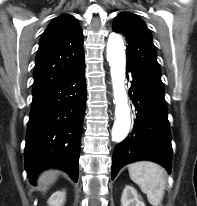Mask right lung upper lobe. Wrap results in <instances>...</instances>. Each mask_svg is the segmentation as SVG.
I'll return each instance as SVG.
<instances>
[{"instance_id":"1","label":"right lung upper lobe","mask_w":197,"mask_h":206,"mask_svg":"<svg viewBox=\"0 0 197 206\" xmlns=\"http://www.w3.org/2000/svg\"><path fill=\"white\" fill-rule=\"evenodd\" d=\"M82 36L72 15L63 14L49 24L35 60L33 95L51 88L84 63Z\"/></svg>"}]
</instances>
